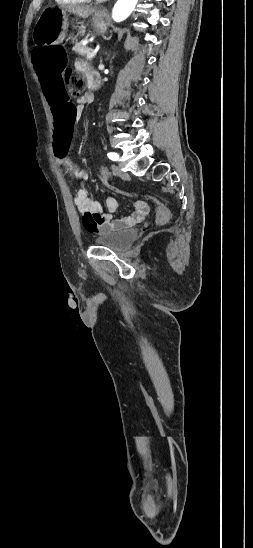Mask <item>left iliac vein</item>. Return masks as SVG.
I'll return each mask as SVG.
<instances>
[{
	"mask_svg": "<svg viewBox=\"0 0 253 548\" xmlns=\"http://www.w3.org/2000/svg\"><path fill=\"white\" fill-rule=\"evenodd\" d=\"M112 169H113V172H114L118 177H120V178H122V179H127V178H128V174L125 173V172H123L119 166L113 165V166H112Z\"/></svg>",
	"mask_w": 253,
	"mask_h": 548,
	"instance_id": "left-iliac-vein-1",
	"label": "left iliac vein"
}]
</instances>
